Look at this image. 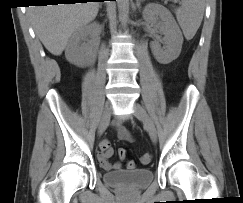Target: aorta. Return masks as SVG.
<instances>
[{
	"label": "aorta",
	"mask_w": 243,
	"mask_h": 203,
	"mask_svg": "<svg viewBox=\"0 0 243 203\" xmlns=\"http://www.w3.org/2000/svg\"><path fill=\"white\" fill-rule=\"evenodd\" d=\"M117 5L120 19L126 22L128 19L129 0H117Z\"/></svg>",
	"instance_id": "762f6f07"
}]
</instances>
